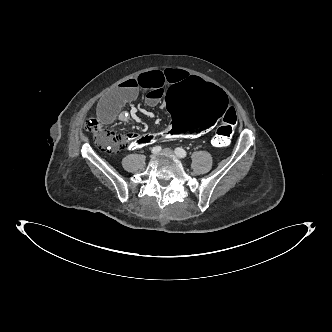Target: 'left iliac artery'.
<instances>
[{
	"label": "left iliac artery",
	"mask_w": 332,
	"mask_h": 332,
	"mask_svg": "<svg viewBox=\"0 0 332 332\" xmlns=\"http://www.w3.org/2000/svg\"><path fill=\"white\" fill-rule=\"evenodd\" d=\"M175 154L180 158L187 157V152L183 148H180V147L175 149Z\"/></svg>",
	"instance_id": "44dca946"
}]
</instances>
